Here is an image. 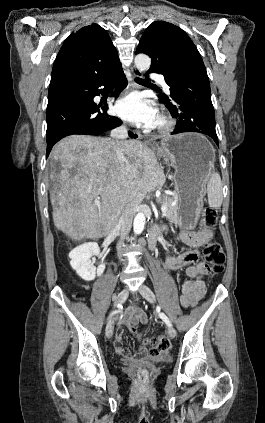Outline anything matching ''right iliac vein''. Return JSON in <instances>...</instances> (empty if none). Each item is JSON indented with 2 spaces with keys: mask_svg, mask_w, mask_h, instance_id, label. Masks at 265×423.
Returning <instances> with one entry per match:
<instances>
[{
  "mask_svg": "<svg viewBox=\"0 0 265 423\" xmlns=\"http://www.w3.org/2000/svg\"><path fill=\"white\" fill-rule=\"evenodd\" d=\"M128 295H129L128 289L125 288V289L121 290L119 292L117 298H116L114 306L116 307V306L122 304L123 302H125ZM113 329H114V321H113V318H110L107 322V325H106V336L108 338L112 337Z\"/></svg>",
  "mask_w": 265,
  "mask_h": 423,
  "instance_id": "obj_1",
  "label": "right iliac vein"
}]
</instances>
